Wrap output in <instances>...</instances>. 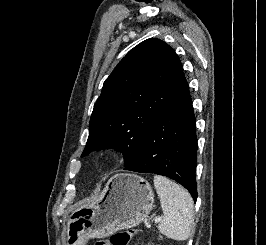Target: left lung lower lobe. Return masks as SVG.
<instances>
[{
    "label": "left lung lower lobe",
    "instance_id": "0a47b994",
    "mask_svg": "<svg viewBox=\"0 0 266 245\" xmlns=\"http://www.w3.org/2000/svg\"><path fill=\"white\" fill-rule=\"evenodd\" d=\"M196 119L186 79L155 118L135 160L124 170L154 173L174 179L197 200Z\"/></svg>",
    "mask_w": 266,
    "mask_h": 245
}]
</instances>
